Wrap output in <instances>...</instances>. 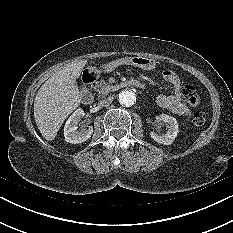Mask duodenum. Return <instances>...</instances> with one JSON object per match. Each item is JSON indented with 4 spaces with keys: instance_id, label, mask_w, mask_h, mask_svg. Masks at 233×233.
I'll return each instance as SVG.
<instances>
[{
    "instance_id": "obj_1",
    "label": "duodenum",
    "mask_w": 233,
    "mask_h": 233,
    "mask_svg": "<svg viewBox=\"0 0 233 233\" xmlns=\"http://www.w3.org/2000/svg\"><path fill=\"white\" fill-rule=\"evenodd\" d=\"M98 78V74L95 71H90L84 74L82 82H83V93H82V102L86 105L91 104L93 101V93L92 86L96 82ZM131 87L143 88V83L139 81H127L123 80L121 82H116L114 84H110L107 87L108 92L114 93L118 91H122L124 89Z\"/></svg>"
}]
</instances>
